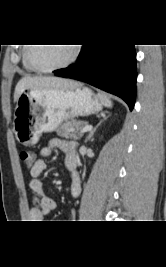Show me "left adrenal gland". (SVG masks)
Instances as JSON below:
<instances>
[{
    "label": "left adrenal gland",
    "instance_id": "a2214340",
    "mask_svg": "<svg viewBox=\"0 0 166 267\" xmlns=\"http://www.w3.org/2000/svg\"><path fill=\"white\" fill-rule=\"evenodd\" d=\"M103 120H101L93 130L90 131V133L88 134V136L85 139V142H88V140H90L93 136V134L96 132L97 128L102 124V122L107 118L105 115H103Z\"/></svg>",
    "mask_w": 166,
    "mask_h": 267
}]
</instances>
